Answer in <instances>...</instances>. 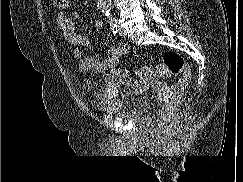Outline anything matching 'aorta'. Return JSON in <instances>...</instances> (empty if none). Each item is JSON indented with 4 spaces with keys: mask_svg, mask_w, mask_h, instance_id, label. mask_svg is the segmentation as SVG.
I'll return each mask as SVG.
<instances>
[{
    "mask_svg": "<svg viewBox=\"0 0 243 182\" xmlns=\"http://www.w3.org/2000/svg\"><path fill=\"white\" fill-rule=\"evenodd\" d=\"M111 1L112 0H96L97 7L108 18H111V5H112Z\"/></svg>",
    "mask_w": 243,
    "mask_h": 182,
    "instance_id": "1",
    "label": "aorta"
}]
</instances>
